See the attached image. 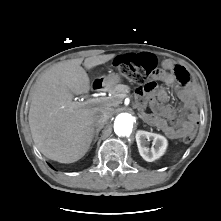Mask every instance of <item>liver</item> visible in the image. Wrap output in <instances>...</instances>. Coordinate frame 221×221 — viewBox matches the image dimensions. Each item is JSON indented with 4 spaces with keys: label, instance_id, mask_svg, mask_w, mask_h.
I'll use <instances>...</instances> for the list:
<instances>
[{
    "label": "liver",
    "instance_id": "obj_1",
    "mask_svg": "<svg viewBox=\"0 0 221 221\" xmlns=\"http://www.w3.org/2000/svg\"><path fill=\"white\" fill-rule=\"evenodd\" d=\"M114 54L88 57L83 66L92 69L114 58ZM81 59L59 62L37 80L29 109V127L40 152L60 163H73L89 150L94 116L107 111L103 106L74 102V94L90 90V79Z\"/></svg>",
    "mask_w": 221,
    "mask_h": 221
}]
</instances>
